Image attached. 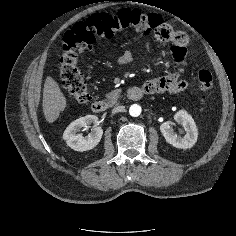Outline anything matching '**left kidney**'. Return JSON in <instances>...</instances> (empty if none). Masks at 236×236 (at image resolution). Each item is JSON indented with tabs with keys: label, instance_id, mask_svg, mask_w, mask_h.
I'll return each instance as SVG.
<instances>
[{
	"label": "left kidney",
	"instance_id": "obj_1",
	"mask_svg": "<svg viewBox=\"0 0 236 236\" xmlns=\"http://www.w3.org/2000/svg\"><path fill=\"white\" fill-rule=\"evenodd\" d=\"M174 120L184 128L186 132L185 136L177 135L172 128L174 123L172 121H166L160 126V131L164 138L176 148H191L198 138V129L193 118L185 110H180L174 115Z\"/></svg>",
	"mask_w": 236,
	"mask_h": 236
}]
</instances>
